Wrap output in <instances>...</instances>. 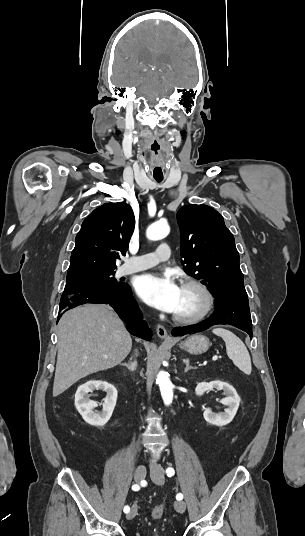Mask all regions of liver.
Returning <instances> with one entry per match:
<instances>
[{
	"instance_id": "liver-1",
	"label": "liver",
	"mask_w": 305,
	"mask_h": 536,
	"mask_svg": "<svg viewBox=\"0 0 305 536\" xmlns=\"http://www.w3.org/2000/svg\"><path fill=\"white\" fill-rule=\"evenodd\" d=\"M58 338L53 396L89 374L118 366L132 348L130 334L117 314L109 306L95 304L65 312Z\"/></svg>"
}]
</instances>
